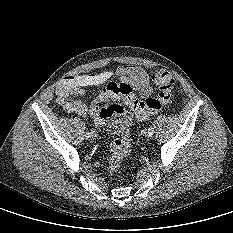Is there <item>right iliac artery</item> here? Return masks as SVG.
Wrapping results in <instances>:
<instances>
[{
    "instance_id": "obj_1",
    "label": "right iliac artery",
    "mask_w": 233,
    "mask_h": 233,
    "mask_svg": "<svg viewBox=\"0 0 233 233\" xmlns=\"http://www.w3.org/2000/svg\"><path fill=\"white\" fill-rule=\"evenodd\" d=\"M85 137H86L87 139H89V138L91 137L90 133L87 132Z\"/></svg>"
}]
</instances>
